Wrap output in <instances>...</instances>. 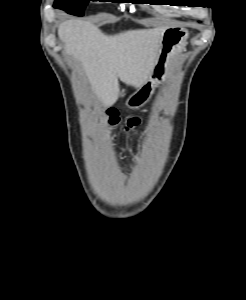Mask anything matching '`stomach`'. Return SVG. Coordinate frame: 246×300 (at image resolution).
Masks as SVG:
<instances>
[{
  "label": "stomach",
  "instance_id": "1",
  "mask_svg": "<svg viewBox=\"0 0 246 300\" xmlns=\"http://www.w3.org/2000/svg\"><path fill=\"white\" fill-rule=\"evenodd\" d=\"M187 38L188 31L184 28L172 27L164 31L151 78L126 100L127 107L136 109L148 101L154 84L166 79L173 57L184 48Z\"/></svg>",
  "mask_w": 246,
  "mask_h": 300
}]
</instances>
